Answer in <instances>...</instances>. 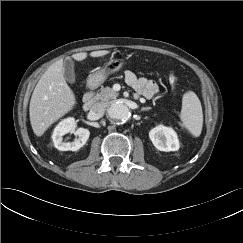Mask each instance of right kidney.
<instances>
[{"instance_id":"right-kidney-1","label":"right kidney","mask_w":243,"mask_h":243,"mask_svg":"<svg viewBox=\"0 0 243 243\" xmlns=\"http://www.w3.org/2000/svg\"><path fill=\"white\" fill-rule=\"evenodd\" d=\"M75 127V119L73 117L62 120L54 129L52 140L55 148L60 151H77L87 142L90 132L88 129L78 128L74 134L78 136L73 142H63V136L72 132Z\"/></svg>"}]
</instances>
